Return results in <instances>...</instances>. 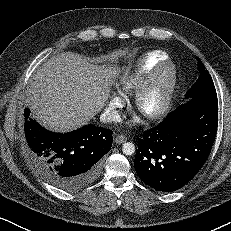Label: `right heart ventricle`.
<instances>
[{"label":"right heart ventricle","instance_id":"e07e8e85","mask_svg":"<svg viewBox=\"0 0 231 231\" xmlns=\"http://www.w3.org/2000/svg\"><path fill=\"white\" fill-rule=\"evenodd\" d=\"M168 55L160 50L150 51L140 57L132 70L125 72L118 81L119 87L125 92L134 91L144 76L153 70L161 61L167 59Z\"/></svg>","mask_w":231,"mask_h":231}]
</instances>
